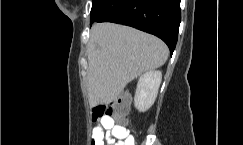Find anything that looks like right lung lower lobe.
Returning <instances> with one entry per match:
<instances>
[{
	"mask_svg": "<svg viewBox=\"0 0 243 145\" xmlns=\"http://www.w3.org/2000/svg\"><path fill=\"white\" fill-rule=\"evenodd\" d=\"M90 23L129 25L161 38L173 53L181 21L180 0H93Z\"/></svg>",
	"mask_w": 243,
	"mask_h": 145,
	"instance_id": "1",
	"label": "right lung lower lobe"
}]
</instances>
